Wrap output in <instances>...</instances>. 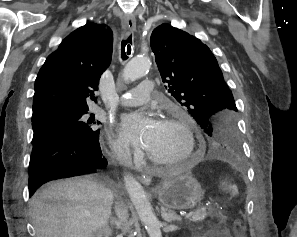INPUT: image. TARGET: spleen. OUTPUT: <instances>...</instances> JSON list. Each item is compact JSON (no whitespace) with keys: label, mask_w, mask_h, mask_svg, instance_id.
I'll use <instances>...</instances> for the list:
<instances>
[{"label":"spleen","mask_w":297,"mask_h":237,"mask_svg":"<svg viewBox=\"0 0 297 237\" xmlns=\"http://www.w3.org/2000/svg\"><path fill=\"white\" fill-rule=\"evenodd\" d=\"M231 188H232L233 194H236L237 193V187L235 185H233Z\"/></svg>","instance_id":"3e777b00"}]
</instances>
